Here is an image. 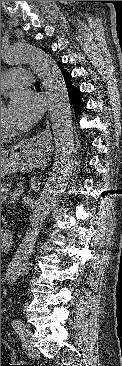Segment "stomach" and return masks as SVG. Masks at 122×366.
Segmentation results:
<instances>
[{
  "label": "stomach",
  "mask_w": 122,
  "mask_h": 366,
  "mask_svg": "<svg viewBox=\"0 0 122 366\" xmlns=\"http://www.w3.org/2000/svg\"><path fill=\"white\" fill-rule=\"evenodd\" d=\"M34 146V144H31V147ZM45 145H41V147H44ZM25 151H20L16 155H12L9 159L7 158L4 162V164L1 166V178H3L11 169H15L20 163L23 155L25 154Z\"/></svg>",
  "instance_id": "obj_1"
}]
</instances>
